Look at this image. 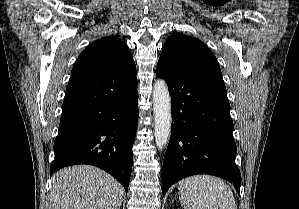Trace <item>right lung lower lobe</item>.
Listing matches in <instances>:
<instances>
[{
  "mask_svg": "<svg viewBox=\"0 0 299 209\" xmlns=\"http://www.w3.org/2000/svg\"><path fill=\"white\" fill-rule=\"evenodd\" d=\"M138 124L137 78L116 73L70 78L50 176L76 164L97 166L128 190Z\"/></svg>",
  "mask_w": 299,
  "mask_h": 209,
  "instance_id": "1",
  "label": "right lung lower lobe"
}]
</instances>
